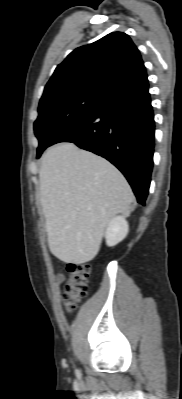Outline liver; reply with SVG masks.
<instances>
[{
	"label": "liver",
	"mask_w": 182,
	"mask_h": 399,
	"mask_svg": "<svg viewBox=\"0 0 182 399\" xmlns=\"http://www.w3.org/2000/svg\"><path fill=\"white\" fill-rule=\"evenodd\" d=\"M39 179L48 246L65 263L91 261L109 221L132 211L134 195L124 176L104 158L73 143L46 151Z\"/></svg>",
	"instance_id": "obj_1"
}]
</instances>
